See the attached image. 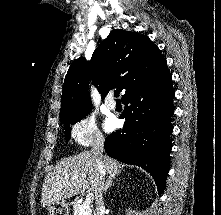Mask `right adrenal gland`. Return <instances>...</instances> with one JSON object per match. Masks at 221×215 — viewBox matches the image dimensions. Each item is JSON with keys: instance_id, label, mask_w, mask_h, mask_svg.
<instances>
[{"instance_id": "2a0ac1e0", "label": "right adrenal gland", "mask_w": 221, "mask_h": 215, "mask_svg": "<svg viewBox=\"0 0 221 215\" xmlns=\"http://www.w3.org/2000/svg\"><path fill=\"white\" fill-rule=\"evenodd\" d=\"M115 178H116V176H109V177H108L107 182H106V185H105V188H104V192H106L107 189H108L110 186L114 185L113 180H114Z\"/></svg>"}]
</instances>
